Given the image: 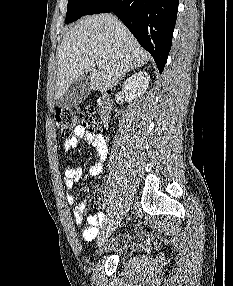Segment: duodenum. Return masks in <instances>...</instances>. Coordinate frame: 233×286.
Segmentation results:
<instances>
[{
	"label": "duodenum",
	"instance_id": "duodenum-1",
	"mask_svg": "<svg viewBox=\"0 0 233 286\" xmlns=\"http://www.w3.org/2000/svg\"><path fill=\"white\" fill-rule=\"evenodd\" d=\"M99 115L103 123H106L110 114V102L106 96L98 99Z\"/></svg>",
	"mask_w": 233,
	"mask_h": 286
}]
</instances>
